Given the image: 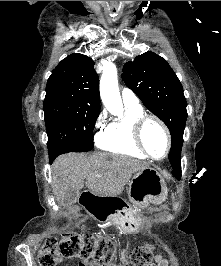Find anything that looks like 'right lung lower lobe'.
<instances>
[{"label": "right lung lower lobe", "mask_w": 221, "mask_h": 266, "mask_svg": "<svg viewBox=\"0 0 221 266\" xmlns=\"http://www.w3.org/2000/svg\"><path fill=\"white\" fill-rule=\"evenodd\" d=\"M50 158V162H52L55 158H53V157H49Z\"/></svg>", "instance_id": "1"}]
</instances>
